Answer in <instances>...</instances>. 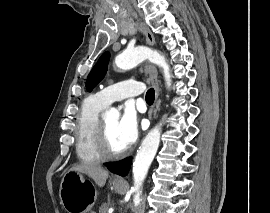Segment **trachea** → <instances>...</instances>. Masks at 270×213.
Listing matches in <instances>:
<instances>
[{"label":"trachea","mask_w":270,"mask_h":213,"mask_svg":"<svg viewBox=\"0 0 270 213\" xmlns=\"http://www.w3.org/2000/svg\"><path fill=\"white\" fill-rule=\"evenodd\" d=\"M155 98V91L153 88L149 89L146 93V101L149 104H152L154 102Z\"/></svg>","instance_id":"obj_1"}]
</instances>
